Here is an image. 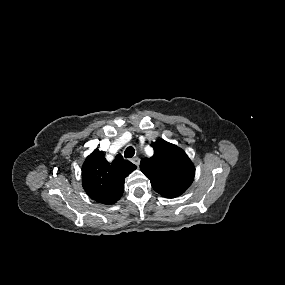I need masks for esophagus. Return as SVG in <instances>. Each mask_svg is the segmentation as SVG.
Here are the masks:
<instances>
[{"instance_id":"1","label":"esophagus","mask_w":285,"mask_h":285,"mask_svg":"<svg viewBox=\"0 0 285 285\" xmlns=\"http://www.w3.org/2000/svg\"><path fill=\"white\" fill-rule=\"evenodd\" d=\"M131 161H132L136 166H139V165H140V159H139L138 157L132 158Z\"/></svg>"}]
</instances>
